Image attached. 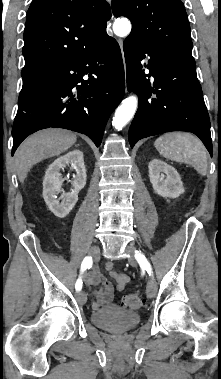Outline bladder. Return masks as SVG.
<instances>
[{
  "mask_svg": "<svg viewBox=\"0 0 221 379\" xmlns=\"http://www.w3.org/2000/svg\"><path fill=\"white\" fill-rule=\"evenodd\" d=\"M92 322L110 332H124L140 321V315L137 312L119 309L116 307H104L95 311L91 316Z\"/></svg>",
  "mask_w": 221,
  "mask_h": 379,
  "instance_id": "1",
  "label": "bladder"
}]
</instances>
